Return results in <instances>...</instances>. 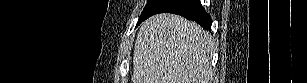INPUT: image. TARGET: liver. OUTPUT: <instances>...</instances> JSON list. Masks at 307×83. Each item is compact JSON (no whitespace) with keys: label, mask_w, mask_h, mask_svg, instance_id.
Returning <instances> with one entry per match:
<instances>
[{"label":"liver","mask_w":307,"mask_h":83,"mask_svg":"<svg viewBox=\"0 0 307 83\" xmlns=\"http://www.w3.org/2000/svg\"><path fill=\"white\" fill-rule=\"evenodd\" d=\"M212 36L196 22L157 14L141 24L133 83H212Z\"/></svg>","instance_id":"6515ba94"}]
</instances>
